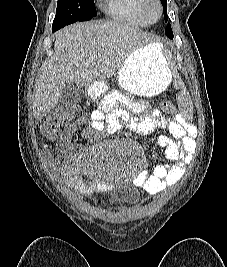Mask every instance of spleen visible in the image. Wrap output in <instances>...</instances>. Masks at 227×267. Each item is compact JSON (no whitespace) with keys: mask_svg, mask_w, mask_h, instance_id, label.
<instances>
[{"mask_svg":"<svg viewBox=\"0 0 227 267\" xmlns=\"http://www.w3.org/2000/svg\"><path fill=\"white\" fill-rule=\"evenodd\" d=\"M160 41H165V36L159 37ZM155 47H173V42H155ZM176 87L178 90H185L187 87V82H176ZM176 98H191V93H176ZM175 105H192V100H175ZM179 111H182V115H193L192 106H179ZM186 121H193V116H186Z\"/></svg>","mask_w":227,"mask_h":267,"instance_id":"3e777b00","label":"spleen"}]
</instances>
